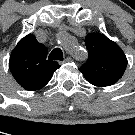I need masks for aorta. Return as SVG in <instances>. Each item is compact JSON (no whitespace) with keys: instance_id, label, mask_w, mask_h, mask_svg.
<instances>
[{"instance_id":"1","label":"aorta","mask_w":135,"mask_h":135,"mask_svg":"<svg viewBox=\"0 0 135 135\" xmlns=\"http://www.w3.org/2000/svg\"><path fill=\"white\" fill-rule=\"evenodd\" d=\"M61 45L76 59H80L85 55L86 51L77 44H72V40L68 35H63Z\"/></svg>"}]
</instances>
